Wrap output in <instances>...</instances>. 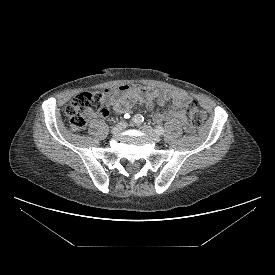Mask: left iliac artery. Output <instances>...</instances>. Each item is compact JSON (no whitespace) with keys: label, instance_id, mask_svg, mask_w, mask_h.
Segmentation results:
<instances>
[{"label":"left iliac artery","instance_id":"1","mask_svg":"<svg viewBox=\"0 0 275 275\" xmlns=\"http://www.w3.org/2000/svg\"><path fill=\"white\" fill-rule=\"evenodd\" d=\"M155 131L158 135H163L164 134V129L162 126H156Z\"/></svg>","mask_w":275,"mask_h":275}]
</instances>
